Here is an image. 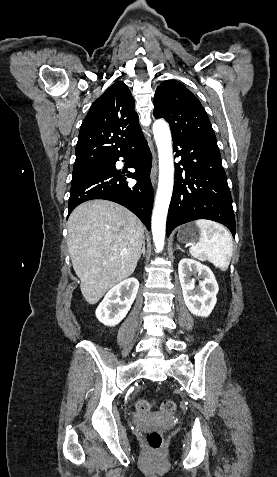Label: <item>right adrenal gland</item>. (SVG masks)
I'll use <instances>...</instances> for the list:
<instances>
[{
    "mask_svg": "<svg viewBox=\"0 0 277 477\" xmlns=\"http://www.w3.org/2000/svg\"><path fill=\"white\" fill-rule=\"evenodd\" d=\"M142 250L139 254V257H138V260L141 258V254L145 255V238L143 239V242H142Z\"/></svg>",
    "mask_w": 277,
    "mask_h": 477,
    "instance_id": "1",
    "label": "right adrenal gland"
}]
</instances>
